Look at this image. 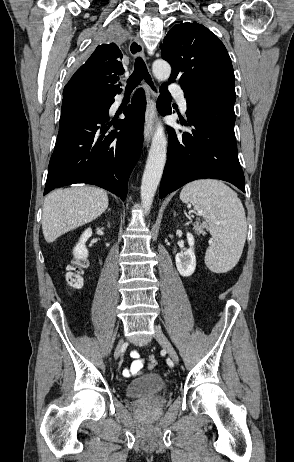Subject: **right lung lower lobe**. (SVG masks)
I'll return each instance as SVG.
<instances>
[{
	"mask_svg": "<svg viewBox=\"0 0 294 462\" xmlns=\"http://www.w3.org/2000/svg\"><path fill=\"white\" fill-rule=\"evenodd\" d=\"M113 102L114 96L90 110L61 115L44 195L62 186L87 183L125 200L128 178L143 143L146 99L144 91L138 89L124 110L125 119L114 124L116 130L108 131Z\"/></svg>",
	"mask_w": 294,
	"mask_h": 462,
	"instance_id": "1",
	"label": "right lung lower lobe"
}]
</instances>
